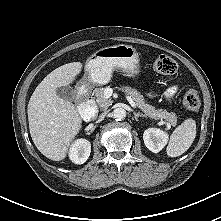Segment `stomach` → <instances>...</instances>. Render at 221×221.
Returning <instances> with one entry per match:
<instances>
[{
	"label": "stomach",
	"instance_id": "obj_1",
	"mask_svg": "<svg viewBox=\"0 0 221 221\" xmlns=\"http://www.w3.org/2000/svg\"><path fill=\"white\" fill-rule=\"evenodd\" d=\"M115 69L131 77L139 74V55L133 46L119 44L95 51L86 61L85 81L89 85H104Z\"/></svg>",
	"mask_w": 221,
	"mask_h": 221
}]
</instances>
